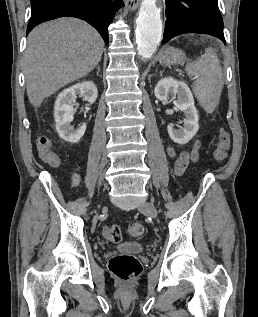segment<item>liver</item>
Wrapping results in <instances>:
<instances>
[{"instance_id":"obj_1","label":"liver","mask_w":258,"mask_h":317,"mask_svg":"<svg viewBox=\"0 0 258 317\" xmlns=\"http://www.w3.org/2000/svg\"><path fill=\"white\" fill-rule=\"evenodd\" d=\"M103 46L99 32L79 18H57L33 28L23 56L31 104L38 108L46 96L91 72Z\"/></svg>"}]
</instances>
